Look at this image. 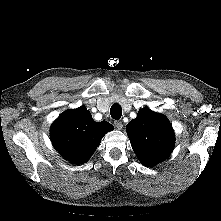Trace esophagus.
<instances>
[{"instance_id":"obj_1","label":"esophagus","mask_w":221,"mask_h":221,"mask_svg":"<svg viewBox=\"0 0 221 221\" xmlns=\"http://www.w3.org/2000/svg\"><path fill=\"white\" fill-rule=\"evenodd\" d=\"M114 124H115V127L117 128V129H122V127H123V124H122V122L121 121H119V120H116L115 122H114Z\"/></svg>"}]
</instances>
